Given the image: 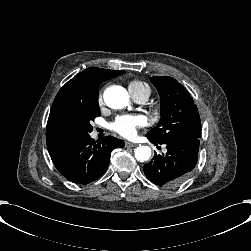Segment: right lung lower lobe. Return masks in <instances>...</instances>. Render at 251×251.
Wrapping results in <instances>:
<instances>
[{
  "label": "right lung lower lobe",
  "mask_w": 251,
  "mask_h": 251,
  "mask_svg": "<svg viewBox=\"0 0 251 251\" xmlns=\"http://www.w3.org/2000/svg\"><path fill=\"white\" fill-rule=\"evenodd\" d=\"M123 146L124 141L113 136H106L102 143H96L88 135L50 156L57 170L67 180L88 184L106 172L112 150Z\"/></svg>",
  "instance_id": "1"
}]
</instances>
